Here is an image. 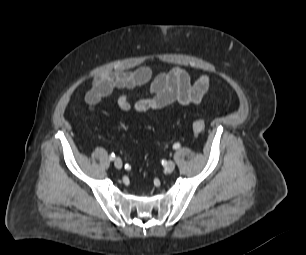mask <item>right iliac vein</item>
Listing matches in <instances>:
<instances>
[{
  "mask_svg": "<svg viewBox=\"0 0 306 255\" xmlns=\"http://www.w3.org/2000/svg\"><path fill=\"white\" fill-rule=\"evenodd\" d=\"M114 165L117 169H121L123 166L122 160L120 158H116L114 160Z\"/></svg>",
  "mask_w": 306,
  "mask_h": 255,
  "instance_id": "1",
  "label": "right iliac vein"
}]
</instances>
